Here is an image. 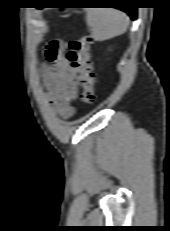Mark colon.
I'll use <instances>...</instances> for the list:
<instances>
[{
  "label": "colon",
  "instance_id": "colon-1",
  "mask_svg": "<svg viewBox=\"0 0 170 231\" xmlns=\"http://www.w3.org/2000/svg\"><path fill=\"white\" fill-rule=\"evenodd\" d=\"M92 44L90 36H82L69 44L67 59L70 67L77 76V81L82 88V100L91 104L95 101V75L92 63Z\"/></svg>",
  "mask_w": 170,
  "mask_h": 231
}]
</instances>
